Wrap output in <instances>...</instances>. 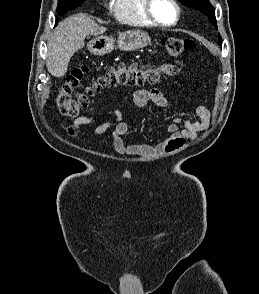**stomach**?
<instances>
[{
    "instance_id": "1",
    "label": "stomach",
    "mask_w": 259,
    "mask_h": 294,
    "mask_svg": "<svg viewBox=\"0 0 259 294\" xmlns=\"http://www.w3.org/2000/svg\"><path fill=\"white\" fill-rule=\"evenodd\" d=\"M117 44L122 51H134L150 45L151 39L144 31L132 30L120 33ZM87 48L92 54L102 56L113 51L114 39L112 36L100 35L92 39Z\"/></svg>"
}]
</instances>
